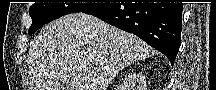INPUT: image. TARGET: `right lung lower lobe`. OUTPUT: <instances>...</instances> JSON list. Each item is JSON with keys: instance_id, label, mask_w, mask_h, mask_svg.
I'll return each mask as SVG.
<instances>
[{"instance_id": "98d812e1", "label": "right lung lower lobe", "mask_w": 216, "mask_h": 90, "mask_svg": "<svg viewBox=\"0 0 216 90\" xmlns=\"http://www.w3.org/2000/svg\"><path fill=\"white\" fill-rule=\"evenodd\" d=\"M182 3H107L84 13L137 35L173 62L180 48Z\"/></svg>"}]
</instances>
